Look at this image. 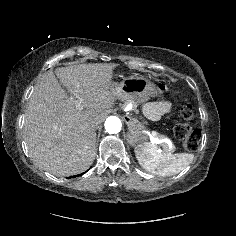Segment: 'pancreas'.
<instances>
[{
  "instance_id": "pancreas-1",
  "label": "pancreas",
  "mask_w": 236,
  "mask_h": 236,
  "mask_svg": "<svg viewBox=\"0 0 236 236\" xmlns=\"http://www.w3.org/2000/svg\"><path fill=\"white\" fill-rule=\"evenodd\" d=\"M143 125H145V123H143ZM156 137L159 138V139H165L166 137L164 135H160V134H156ZM162 147L164 148L165 151H174L175 150V147L174 146H169L167 143H162L161 144Z\"/></svg>"
}]
</instances>
